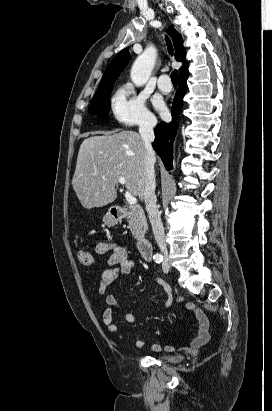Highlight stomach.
<instances>
[{"label": "stomach", "mask_w": 272, "mask_h": 411, "mask_svg": "<svg viewBox=\"0 0 272 411\" xmlns=\"http://www.w3.org/2000/svg\"><path fill=\"white\" fill-rule=\"evenodd\" d=\"M103 222L107 225V226H114L117 222L118 219H116L115 217H113L110 214H106L103 218Z\"/></svg>", "instance_id": "1"}]
</instances>
